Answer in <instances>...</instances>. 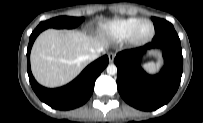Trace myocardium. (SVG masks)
<instances>
[{
    "label": "myocardium",
    "mask_w": 203,
    "mask_h": 123,
    "mask_svg": "<svg viewBox=\"0 0 203 123\" xmlns=\"http://www.w3.org/2000/svg\"><path fill=\"white\" fill-rule=\"evenodd\" d=\"M144 23H150L151 24L152 32L147 38H139L138 37V30L141 27V25L144 24ZM154 35H155V26H154L153 22L151 20H149V19H141L135 25V27L132 29L128 39L134 45H143V44H146V43L150 42L153 39Z\"/></svg>",
    "instance_id": "f54148a6"
}]
</instances>
